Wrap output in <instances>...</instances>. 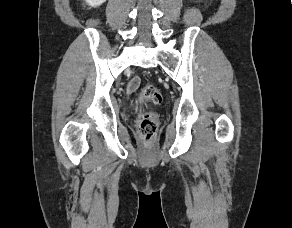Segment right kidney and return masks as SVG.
Returning a JSON list of instances; mask_svg holds the SVG:
<instances>
[{"mask_svg":"<svg viewBox=\"0 0 292 228\" xmlns=\"http://www.w3.org/2000/svg\"><path fill=\"white\" fill-rule=\"evenodd\" d=\"M86 3L91 7H97L103 4L106 0H85Z\"/></svg>","mask_w":292,"mask_h":228,"instance_id":"1","label":"right kidney"}]
</instances>
